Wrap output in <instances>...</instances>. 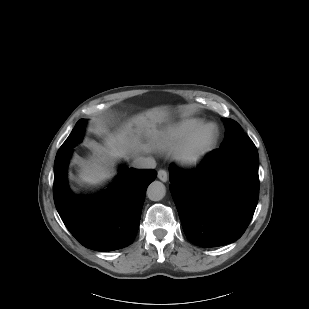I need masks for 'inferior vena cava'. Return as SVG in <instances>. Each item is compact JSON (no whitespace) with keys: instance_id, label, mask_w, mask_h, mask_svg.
Segmentation results:
<instances>
[{"instance_id":"1","label":"inferior vena cava","mask_w":309,"mask_h":309,"mask_svg":"<svg viewBox=\"0 0 309 309\" xmlns=\"http://www.w3.org/2000/svg\"><path fill=\"white\" fill-rule=\"evenodd\" d=\"M134 167L140 169H153L156 167V162L153 158L139 157L133 163Z\"/></svg>"}]
</instances>
